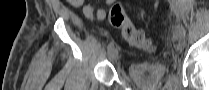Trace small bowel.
I'll return each instance as SVG.
<instances>
[{"label":"small bowel","mask_w":209,"mask_h":90,"mask_svg":"<svg viewBox=\"0 0 209 90\" xmlns=\"http://www.w3.org/2000/svg\"><path fill=\"white\" fill-rule=\"evenodd\" d=\"M83 12L91 20H103L107 14L105 9H100L95 13L93 6L90 4L84 6Z\"/></svg>","instance_id":"obj_1"}]
</instances>
